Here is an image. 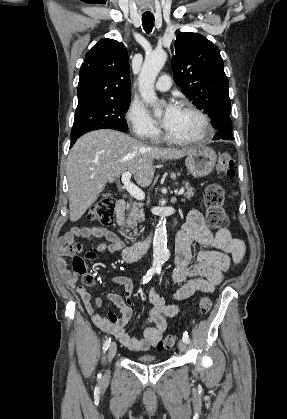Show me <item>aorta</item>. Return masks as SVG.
Wrapping results in <instances>:
<instances>
[{"label":"aorta","instance_id":"aorta-1","mask_svg":"<svg viewBox=\"0 0 287 419\" xmlns=\"http://www.w3.org/2000/svg\"><path fill=\"white\" fill-rule=\"evenodd\" d=\"M166 59L167 54L164 50H155L144 60L139 75V92L146 103H155L157 101L154 84ZM169 256V250L167 249L166 219L162 216L157 224L153 238L152 270H161L162 265L169 259Z\"/></svg>","mask_w":287,"mask_h":419}]
</instances>
